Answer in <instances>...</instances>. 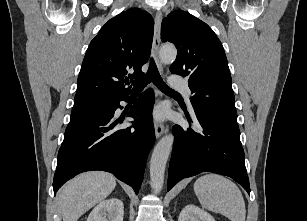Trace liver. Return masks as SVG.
Wrapping results in <instances>:
<instances>
[{
  "mask_svg": "<svg viewBox=\"0 0 307 221\" xmlns=\"http://www.w3.org/2000/svg\"><path fill=\"white\" fill-rule=\"evenodd\" d=\"M115 186V177L100 171L86 172L70 180L58 196V209L63 221H77L108 197Z\"/></svg>",
  "mask_w": 307,
  "mask_h": 221,
  "instance_id": "1",
  "label": "liver"
}]
</instances>
